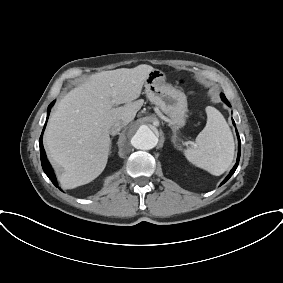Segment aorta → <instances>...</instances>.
<instances>
[{
	"mask_svg": "<svg viewBox=\"0 0 283 283\" xmlns=\"http://www.w3.org/2000/svg\"><path fill=\"white\" fill-rule=\"evenodd\" d=\"M131 143L137 149L150 150L157 145L158 138L148 126L141 125L134 132Z\"/></svg>",
	"mask_w": 283,
	"mask_h": 283,
	"instance_id": "obj_1",
	"label": "aorta"
}]
</instances>
